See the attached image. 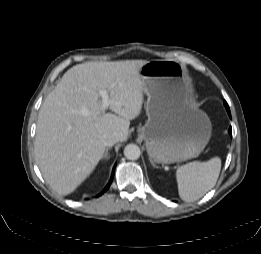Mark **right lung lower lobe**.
Returning <instances> with one entry per match:
<instances>
[{"label": "right lung lower lobe", "instance_id": "obj_1", "mask_svg": "<svg viewBox=\"0 0 261 254\" xmlns=\"http://www.w3.org/2000/svg\"><path fill=\"white\" fill-rule=\"evenodd\" d=\"M114 172H115V166H114L113 171H112L111 179H110V181H109L107 187L102 191L101 194H103L104 192H106V191L108 190L109 186L111 185L112 180H113V177H114ZM101 194H100V195H101Z\"/></svg>", "mask_w": 261, "mask_h": 254}]
</instances>
